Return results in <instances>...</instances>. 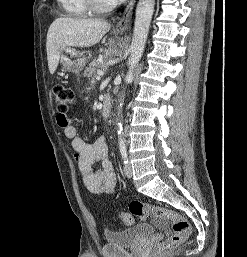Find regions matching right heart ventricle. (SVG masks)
I'll return each mask as SVG.
<instances>
[{"instance_id": "obj_1", "label": "right heart ventricle", "mask_w": 247, "mask_h": 257, "mask_svg": "<svg viewBox=\"0 0 247 257\" xmlns=\"http://www.w3.org/2000/svg\"><path fill=\"white\" fill-rule=\"evenodd\" d=\"M60 8L67 16L85 17L91 13L85 0H57Z\"/></svg>"}]
</instances>
